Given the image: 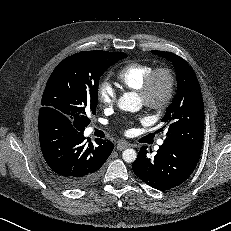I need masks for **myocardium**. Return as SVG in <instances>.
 I'll use <instances>...</instances> for the list:
<instances>
[{"mask_svg": "<svg viewBox=\"0 0 231 231\" xmlns=\"http://www.w3.org/2000/svg\"><path fill=\"white\" fill-rule=\"evenodd\" d=\"M165 81L161 95L157 94L159 80ZM177 80L174 71L165 65L154 68L145 79L137 94L142 103L156 112H164L172 103L176 94Z\"/></svg>", "mask_w": 231, "mask_h": 231, "instance_id": "f54148a6", "label": "myocardium"}]
</instances>
